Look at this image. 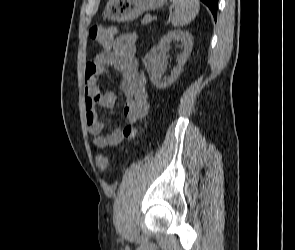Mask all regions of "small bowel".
Instances as JSON below:
<instances>
[{
	"label": "small bowel",
	"mask_w": 295,
	"mask_h": 250,
	"mask_svg": "<svg viewBox=\"0 0 295 250\" xmlns=\"http://www.w3.org/2000/svg\"><path fill=\"white\" fill-rule=\"evenodd\" d=\"M135 34L119 35L108 50L89 61L85 68V105L88 130L96 148L113 147L125 139H135L149 111L146 79L138 70L135 58ZM120 74V87L126 96L124 106L125 125L104 134L105 122L98 110L115 105L116 94L102 92L99 76L109 69Z\"/></svg>",
	"instance_id": "c3829d8e"
}]
</instances>
